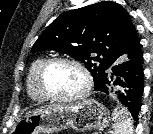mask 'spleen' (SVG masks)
I'll use <instances>...</instances> for the list:
<instances>
[{"instance_id":"spleen-1","label":"spleen","mask_w":153,"mask_h":134,"mask_svg":"<svg viewBox=\"0 0 153 134\" xmlns=\"http://www.w3.org/2000/svg\"><path fill=\"white\" fill-rule=\"evenodd\" d=\"M112 121L113 134H133V124L126 108L115 110Z\"/></svg>"}]
</instances>
